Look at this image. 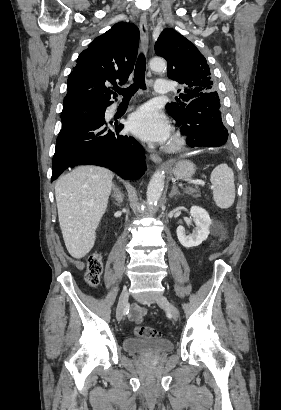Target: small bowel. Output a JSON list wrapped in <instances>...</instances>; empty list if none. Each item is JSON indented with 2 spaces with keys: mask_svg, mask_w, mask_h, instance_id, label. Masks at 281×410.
I'll list each match as a JSON object with an SVG mask.
<instances>
[{
  "mask_svg": "<svg viewBox=\"0 0 281 410\" xmlns=\"http://www.w3.org/2000/svg\"><path fill=\"white\" fill-rule=\"evenodd\" d=\"M146 315V309L135 304L131 307L128 313V319L132 322H140L143 317Z\"/></svg>",
  "mask_w": 281,
  "mask_h": 410,
  "instance_id": "small-bowel-1",
  "label": "small bowel"
}]
</instances>
